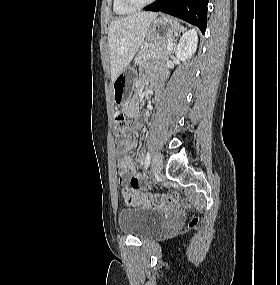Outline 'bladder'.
Here are the masks:
<instances>
[{
    "instance_id": "1",
    "label": "bladder",
    "mask_w": 280,
    "mask_h": 285,
    "mask_svg": "<svg viewBox=\"0 0 280 285\" xmlns=\"http://www.w3.org/2000/svg\"><path fill=\"white\" fill-rule=\"evenodd\" d=\"M163 222V213L153 208H124L118 215L120 231L138 238L156 234L161 230Z\"/></svg>"
}]
</instances>
